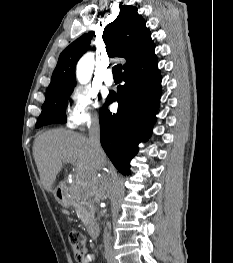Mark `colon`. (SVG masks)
I'll return each instance as SVG.
<instances>
[{"instance_id": "5ec220e1", "label": "colon", "mask_w": 233, "mask_h": 263, "mask_svg": "<svg viewBox=\"0 0 233 263\" xmlns=\"http://www.w3.org/2000/svg\"><path fill=\"white\" fill-rule=\"evenodd\" d=\"M70 245L72 247L74 258L80 261L84 258L87 252V239L79 231L72 230L68 235Z\"/></svg>"}]
</instances>
